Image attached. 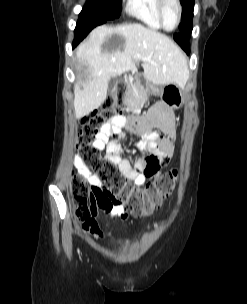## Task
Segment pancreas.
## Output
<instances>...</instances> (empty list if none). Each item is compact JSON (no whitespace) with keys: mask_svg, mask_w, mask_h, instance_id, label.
<instances>
[{"mask_svg":"<svg viewBox=\"0 0 247 304\" xmlns=\"http://www.w3.org/2000/svg\"><path fill=\"white\" fill-rule=\"evenodd\" d=\"M132 86V89H128L125 92L123 102L127 111H136L141 109L145 101L149 98V95L155 93V88L150 86L145 88L141 83H129L128 86Z\"/></svg>","mask_w":247,"mask_h":304,"instance_id":"obj_1","label":"pancreas"}]
</instances>
